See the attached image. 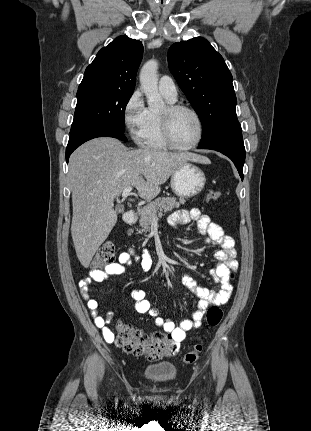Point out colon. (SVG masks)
Wrapping results in <instances>:
<instances>
[{"label":"colon","instance_id":"obj_1","mask_svg":"<svg viewBox=\"0 0 311 431\" xmlns=\"http://www.w3.org/2000/svg\"><path fill=\"white\" fill-rule=\"evenodd\" d=\"M220 196V192L216 190H209L207 193V199L209 201H217ZM114 258V244L111 241H106L98 249L93 260V266L95 268L105 267L113 263ZM222 318L223 312L221 308L216 305L211 306L206 311L208 328H214L219 325ZM115 329L116 344L126 353L135 356H146L149 360H157L163 357L172 356L178 350V345L170 338L161 334H155L150 337L124 321H118ZM202 349V342L201 340H198L193 349L184 355L183 362L185 364L195 363L198 360Z\"/></svg>","mask_w":311,"mask_h":431}]
</instances>
